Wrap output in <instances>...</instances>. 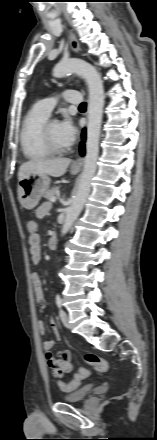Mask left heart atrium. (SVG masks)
Returning <instances> with one entry per match:
<instances>
[{
    "label": "left heart atrium",
    "mask_w": 157,
    "mask_h": 440,
    "mask_svg": "<svg viewBox=\"0 0 157 440\" xmlns=\"http://www.w3.org/2000/svg\"><path fill=\"white\" fill-rule=\"evenodd\" d=\"M60 134L67 145L74 143L77 137V129L70 118H65L59 123Z\"/></svg>",
    "instance_id": "1"
}]
</instances>
